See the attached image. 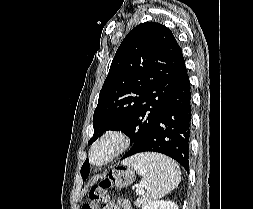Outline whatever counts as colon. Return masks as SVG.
Masks as SVG:
<instances>
[{
  "instance_id": "colon-1",
  "label": "colon",
  "mask_w": 253,
  "mask_h": 209,
  "mask_svg": "<svg viewBox=\"0 0 253 209\" xmlns=\"http://www.w3.org/2000/svg\"><path fill=\"white\" fill-rule=\"evenodd\" d=\"M133 180V174L126 169H118L110 173L106 179L100 182V184L91 187L89 191V197L91 199L90 204L83 205L82 209H96V203L102 198L105 190L111 185L126 186ZM115 205L112 203H105L102 209H114Z\"/></svg>"
}]
</instances>
